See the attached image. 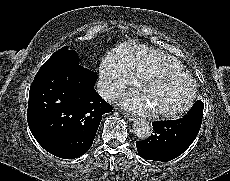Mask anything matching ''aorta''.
I'll list each match as a JSON object with an SVG mask.
<instances>
[{"label":"aorta","mask_w":230,"mask_h":181,"mask_svg":"<svg viewBox=\"0 0 230 181\" xmlns=\"http://www.w3.org/2000/svg\"><path fill=\"white\" fill-rule=\"evenodd\" d=\"M133 129L135 135L141 139L146 140L152 134V126L150 123L145 119H137L133 124Z\"/></svg>","instance_id":"aorta-1"}]
</instances>
